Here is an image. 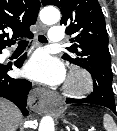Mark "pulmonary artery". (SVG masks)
Segmentation results:
<instances>
[{
    "instance_id": "e3ab8cb5",
    "label": "pulmonary artery",
    "mask_w": 117,
    "mask_h": 131,
    "mask_svg": "<svg viewBox=\"0 0 117 131\" xmlns=\"http://www.w3.org/2000/svg\"><path fill=\"white\" fill-rule=\"evenodd\" d=\"M63 40V30L59 26H53L49 32V41L52 43H58Z\"/></svg>"
}]
</instances>
